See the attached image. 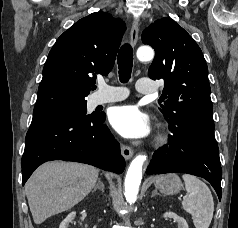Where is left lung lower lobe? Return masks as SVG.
Returning <instances> with one entry per match:
<instances>
[{"label":"left lung lower lobe","instance_id":"left-lung-lower-lobe-1","mask_svg":"<svg viewBox=\"0 0 238 228\" xmlns=\"http://www.w3.org/2000/svg\"><path fill=\"white\" fill-rule=\"evenodd\" d=\"M173 135L169 145L157 150L146 170L148 175L187 173L203 177L221 200V164L214 127L192 126L186 122L169 124Z\"/></svg>","mask_w":238,"mask_h":228}]
</instances>
